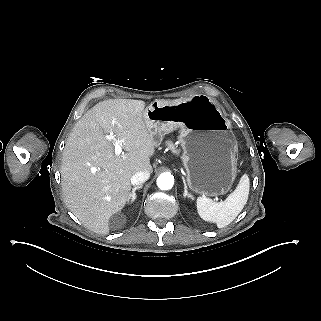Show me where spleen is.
<instances>
[{
    "instance_id": "3e777b00",
    "label": "spleen",
    "mask_w": 321,
    "mask_h": 321,
    "mask_svg": "<svg viewBox=\"0 0 321 321\" xmlns=\"http://www.w3.org/2000/svg\"><path fill=\"white\" fill-rule=\"evenodd\" d=\"M250 181L244 174L236 189L221 202H215L205 196L197 198V211L199 216L208 222L216 223L218 228L229 225L242 211L247 203Z\"/></svg>"
}]
</instances>
